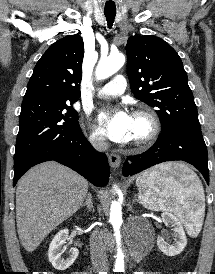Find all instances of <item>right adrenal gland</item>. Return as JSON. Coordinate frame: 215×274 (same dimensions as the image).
Masks as SVG:
<instances>
[{"mask_svg":"<svg viewBox=\"0 0 215 274\" xmlns=\"http://www.w3.org/2000/svg\"><path fill=\"white\" fill-rule=\"evenodd\" d=\"M85 206L87 207V209H88L89 211H91V210L94 209V207H93V200H92V195H91V193H87L86 201H85V203L82 204L81 207H85Z\"/></svg>","mask_w":215,"mask_h":274,"instance_id":"right-adrenal-gland-1","label":"right adrenal gland"}]
</instances>
